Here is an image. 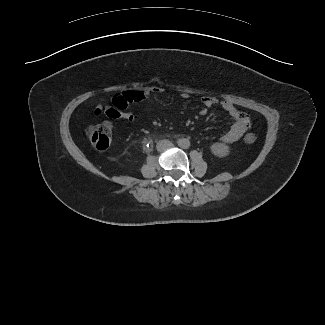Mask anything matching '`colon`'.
Returning a JSON list of instances; mask_svg holds the SVG:
<instances>
[{"instance_id": "1", "label": "colon", "mask_w": 325, "mask_h": 325, "mask_svg": "<svg viewBox=\"0 0 325 325\" xmlns=\"http://www.w3.org/2000/svg\"><path fill=\"white\" fill-rule=\"evenodd\" d=\"M84 134L90 145L98 150H106L112 138V126L109 122H101L99 124L89 125L85 128ZM256 141V136L252 133L244 136V142L251 144Z\"/></svg>"}]
</instances>
